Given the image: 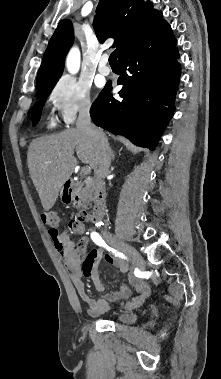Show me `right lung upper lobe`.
I'll list each match as a JSON object with an SVG mask.
<instances>
[{
	"label": "right lung upper lobe",
	"instance_id": "cb5924a9",
	"mask_svg": "<svg viewBox=\"0 0 221 379\" xmlns=\"http://www.w3.org/2000/svg\"><path fill=\"white\" fill-rule=\"evenodd\" d=\"M165 20L162 13L144 0H100L94 19V29L100 42L114 38L118 57L138 43ZM73 27L65 19L58 24L44 53L37 75V90L57 82L64 59L73 44Z\"/></svg>",
	"mask_w": 221,
	"mask_h": 379
}]
</instances>
